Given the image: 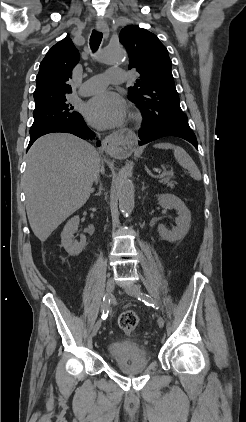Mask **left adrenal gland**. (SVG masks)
Listing matches in <instances>:
<instances>
[{
    "instance_id": "1",
    "label": "left adrenal gland",
    "mask_w": 246,
    "mask_h": 422,
    "mask_svg": "<svg viewBox=\"0 0 246 422\" xmlns=\"http://www.w3.org/2000/svg\"><path fill=\"white\" fill-rule=\"evenodd\" d=\"M146 189V186H145V184H144V182H142V191H144Z\"/></svg>"
}]
</instances>
